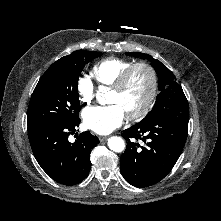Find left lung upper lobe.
Listing matches in <instances>:
<instances>
[{"mask_svg": "<svg viewBox=\"0 0 221 221\" xmlns=\"http://www.w3.org/2000/svg\"><path fill=\"white\" fill-rule=\"evenodd\" d=\"M126 54L129 56L150 60L159 79L158 88L160 93L157 96L155 106L142 121H146L150 118H154L156 115L166 112V109L169 108V103L172 97L177 96L180 92H183L181 86L176 82L174 74L159 60L154 59L148 54L136 52H127Z\"/></svg>", "mask_w": 221, "mask_h": 221, "instance_id": "obj_1", "label": "left lung upper lobe"}]
</instances>
